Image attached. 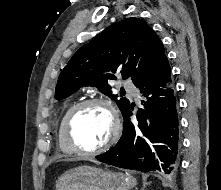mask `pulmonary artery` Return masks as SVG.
Segmentation results:
<instances>
[{"label":"pulmonary artery","mask_w":221,"mask_h":190,"mask_svg":"<svg viewBox=\"0 0 221 190\" xmlns=\"http://www.w3.org/2000/svg\"><path fill=\"white\" fill-rule=\"evenodd\" d=\"M121 84L125 88H131V83L128 80H123Z\"/></svg>","instance_id":"pulmonary-artery-1"}]
</instances>
